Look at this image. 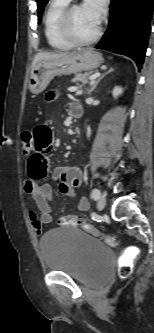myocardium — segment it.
I'll return each mask as SVG.
<instances>
[{"label":"myocardium","instance_id":"f54148a6","mask_svg":"<svg viewBox=\"0 0 154 333\" xmlns=\"http://www.w3.org/2000/svg\"><path fill=\"white\" fill-rule=\"evenodd\" d=\"M79 3H70L68 4L64 10L61 13L60 19H59V30L61 35L70 43H72L75 46H86L93 44L96 42L101 34H102V25L99 24L97 31L95 34L88 38V39H82L79 38L73 31L72 26H71V15L73 10L76 7H79Z\"/></svg>","mask_w":154,"mask_h":333}]
</instances>
